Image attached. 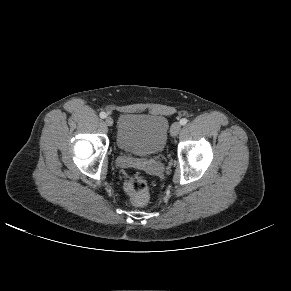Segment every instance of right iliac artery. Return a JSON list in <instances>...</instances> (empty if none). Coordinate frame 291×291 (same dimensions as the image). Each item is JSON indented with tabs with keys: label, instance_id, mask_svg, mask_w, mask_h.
I'll return each instance as SVG.
<instances>
[{
	"label": "right iliac artery",
	"instance_id": "1",
	"mask_svg": "<svg viewBox=\"0 0 291 291\" xmlns=\"http://www.w3.org/2000/svg\"><path fill=\"white\" fill-rule=\"evenodd\" d=\"M100 117L103 118V119L106 118V113L105 112H101L100 113Z\"/></svg>",
	"mask_w": 291,
	"mask_h": 291
}]
</instances>
